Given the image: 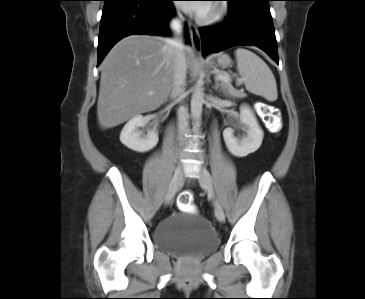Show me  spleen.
Masks as SVG:
<instances>
[{
    "mask_svg": "<svg viewBox=\"0 0 365 299\" xmlns=\"http://www.w3.org/2000/svg\"><path fill=\"white\" fill-rule=\"evenodd\" d=\"M237 69L246 89L269 101L278 97L274 75L268 65L255 53L244 48L235 51Z\"/></svg>",
    "mask_w": 365,
    "mask_h": 299,
    "instance_id": "obj_1",
    "label": "spleen"
}]
</instances>
